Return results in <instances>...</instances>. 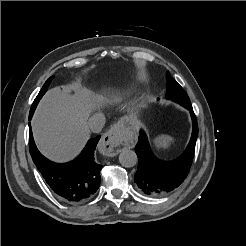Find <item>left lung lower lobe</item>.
Wrapping results in <instances>:
<instances>
[{
  "instance_id": "1",
  "label": "left lung lower lobe",
  "mask_w": 246,
  "mask_h": 246,
  "mask_svg": "<svg viewBox=\"0 0 246 246\" xmlns=\"http://www.w3.org/2000/svg\"><path fill=\"white\" fill-rule=\"evenodd\" d=\"M190 111L193 123L192 136L184 153L169 162L161 161L152 153L146 134L140 131L135 147L138 156V168L135 183L147 195H164L177 188L187 177L190 170L198 135V126L191 103L182 105Z\"/></svg>"
}]
</instances>
